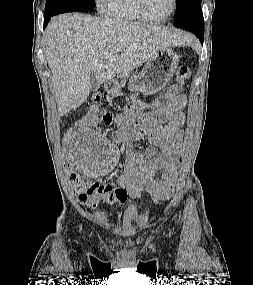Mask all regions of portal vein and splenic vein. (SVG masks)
Wrapping results in <instances>:
<instances>
[{
	"label": "portal vein and splenic vein",
	"mask_w": 253,
	"mask_h": 285,
	"mask_svg": "<svg viewBox=\"0 0 253 285\" xmlns=\"http://www.w3.org/2000/svg\"><path fill=\"white\" fill-rule=\"evenodd\" d=\"M118 50H122L123 49V47L122 46H118V48H117Z\"/></svg>",
	"instance_id": "1"
}]
</instances>
